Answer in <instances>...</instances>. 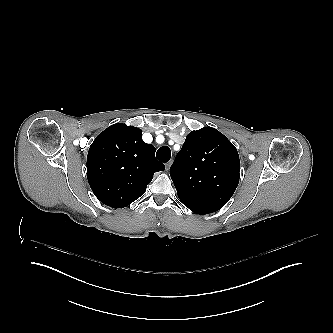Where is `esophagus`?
<instances>
[{
	"label": "esophagus",
	"instance_id": "1",
	"mask_svg": "<svg viewBox=\"0 0 333 333\" xmlns=\"http://www.w3.org/2000/svg\"><path fill=\"white\" fill-rule=\"evenodd\" d=\"M171 164H172V161H169V162L166 164V170H169V169H170Z\"/></svg>",
	"mask_w": 333,
	"mask_h": 333
}]
</instances>
